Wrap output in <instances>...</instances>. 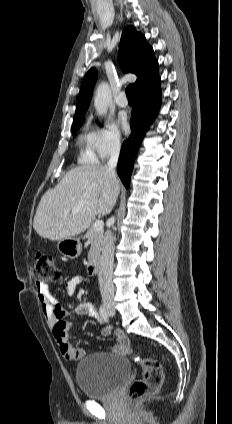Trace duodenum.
<instances>
[{
	"label": "duodenum",
	"mask_w": 232,
	"mask_h": 424,
	"mask_svg": "<svg viewBox=\"0 0 232 424\" xmlns=\"http://www.w3.org/2000/svg\"><path fill=\"white\" fill-rule=\"evenodd\" d=\"M99 269V260L97 257H93L87 267V273L89 275H95Z\"/></svg>",
	"instance_id": "1"
}]
</instances>
